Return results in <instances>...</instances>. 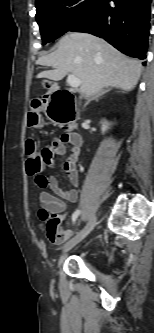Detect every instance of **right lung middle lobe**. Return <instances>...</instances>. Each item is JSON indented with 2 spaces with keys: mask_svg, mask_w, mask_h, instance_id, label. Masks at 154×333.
<instances>
[{
  "mask_svg": "<svg viewBox=\"0 0 154 333\" xmlns=\"http://www.w3.org/2000/svg\"><path fill=\"white\" fill-rule=\"evenodd\" d=\"M98 0H40L36 17L44 44L69 31L91 13Z\"/></svg>",
  "mask_w": 154,
  "mask_h": 333,
  "instance_id": "right-lung-middle-lobe-1",
  "label": "right lung middle lobe"
}]
</instances>
